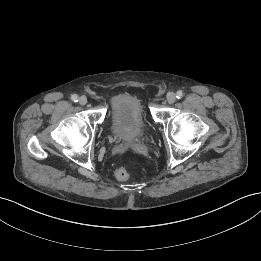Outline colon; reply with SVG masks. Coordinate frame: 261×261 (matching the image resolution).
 Returning a JSON list of instances; mask_svg holds the SVG:
<instances>
[{"label": "colon", "mask_w": 261, "mask_h": 261, "mask_svg": "<svg viewBox=\"0 0 261 261\" xmlns=\"http://www.w3.org/2000/svg\"><path fill=\"white\" fill-rule=\"evenodd\" d=\"M115 177L119 181H125L128 178V172L126 168L120 167L115 172Z\"/></svg>", "instance_id": "colon-1"}]
</instances>
